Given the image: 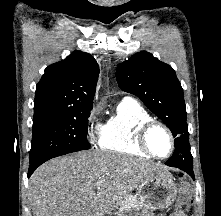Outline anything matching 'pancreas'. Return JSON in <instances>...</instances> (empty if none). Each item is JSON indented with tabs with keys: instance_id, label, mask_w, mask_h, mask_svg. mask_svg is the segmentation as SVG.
Wrapping results in <instances>:
<instances>
[{
	"instance_id": "obj_1",
	"label": "pancreas",
	"mask_w": 221,
	"mask_h": 216,
	"mask_svg": "<svg viewBox=\"0 0 221 216\" xmlns=\"http://www.w3.org/2000/svg\"><path fill=\"white\" fill-rule=\"evenodd\" d=\"M138 206V200L133 196H127L124 201L121 202L119 213H122L123 211ZM121 216V215H119Z\"/></svg>"
}]
</instances>
